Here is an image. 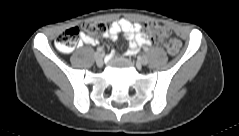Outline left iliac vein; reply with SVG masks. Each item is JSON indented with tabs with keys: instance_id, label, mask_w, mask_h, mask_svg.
<instances>
[{
	"instance_id": "left-iliac-vein-1",
	"label": "left iliac vein",
	"mask_w": 239,
	"mask_h": 136,
	"mask_svg": "<svg viewBox=\"0 0 239 136\" xmlns=\"http://www.w3.org/2000/svg\"><path fill=\"white\" fill-rule=\"evenodd\" d=\"M148 63V59L146 56H140L137 59V64L138 65H146Z\"/></svg>"
}]
</instances>
